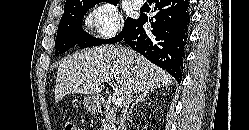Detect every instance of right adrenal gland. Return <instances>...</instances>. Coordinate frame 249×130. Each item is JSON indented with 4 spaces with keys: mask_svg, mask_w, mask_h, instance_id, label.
Returning <instances> with one entry per match:
<instances>
[{
    "mask_svg": "<svg viewBox=\"0 0 249 130\" xmlns=\"http://www.w3.org/2000/svg\"><path fill=\"white\" fill-rule=\"evenodd\" d=\"M153 90H146L144 91L142 94H140L136 99H135V102L131 105L130 109H129V112L127 113L128 117L130 116V114H132V110L135 106V104L139 103V102H143L145 101L146 97L148 96L149 93H152Z\"/></svg>",
    "mask_w": 249,
    "mask_h": 130,
    "instance_id": "right-adrenal-gland-1",
    "label": "right adrenal gland"
}]
</instances>
